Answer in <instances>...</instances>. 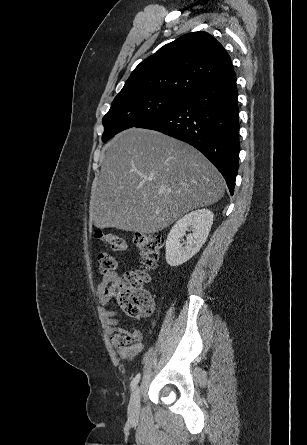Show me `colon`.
<instances>
[{
	"label": "colon",
	"mask_w": 307,
	"mask_h": 445,
	"mask_svg": "<svg viewBox=\"0 0 307 445\" xmlns=\"http://www.w3.org/2000/svg\"><path fill=\"white\" fill-rule=\"evenodd\" d=\"M95 237L106 243L114 252L120 253L127 248L125 240L117 234L97 230ZM134 244L140 254V266L123 275L111 296H116L119 307L127 316L139 320L150 316L154 309L153 298L143 285L149 280L148 272L155 267L164 240L156 234L138 233ZM98 263L100 271L104 274L118 268L116 257L107 252L99 253Z\"/></svg>",
	"instance_id": "1"
}]
</instances>
